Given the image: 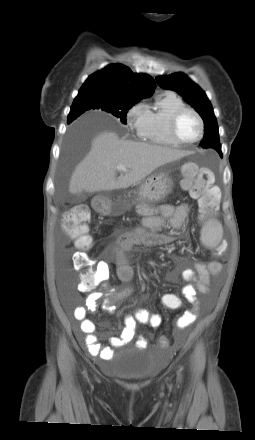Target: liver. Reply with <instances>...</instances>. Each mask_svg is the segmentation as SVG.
<instances>
[{
    "label": "liver",
    "instance_id": "1",
    "mask_svg": "<svg viewBox=\"0 0 255 440\" xmlns=\"http://www.w3.org/2000/svg\"><path fill=\"white\" fill-rule=\"evenodd\" d=\"M189 151L158 145L120 140L114 132L104 131L91 143V149L71 176V194L126 189L151 174L158 167L176 161ZM127 171L116 177L117 166Z\"/></svg>",
    "mask_w": 255,
    "mask_h": 440
}]
</instances>
